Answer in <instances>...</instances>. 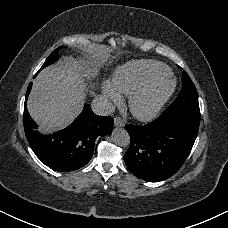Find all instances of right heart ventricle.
<instances>
[{"label":"right heart ventricle","mask_w":228,"mask_h":228,"mask_svg":"<svg viewBox=\"0 0 228 228\" xmlns=\"http://www.w3.org/2000/svg\"><path fill=\"white\" fill-rule=\"evenodd\" d=\"M169 74V69L158 62H135L125 65L116 71L114 86L127 96H133L145 85L163 80Z\"/></svg>","instance_id":"e07e8e85"}]
</instances>
